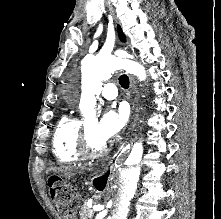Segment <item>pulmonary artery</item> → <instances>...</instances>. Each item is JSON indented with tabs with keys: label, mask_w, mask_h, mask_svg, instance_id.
I'll use <instances>...</instances> for the list:
<instances>
[{
	"label": "pulmonary artery",
	"mask_w": 221,
	"mask_h": 219,
	"mask_svg": "<svg viewBox=\"0 0 221 219\" xmlns=\"http://www.w3.org/2000/svg\"><path fill=\"white\" fill-rule=\"evenodd\" d=\"M101 95L108 100L115 99L118 96L117 87L112 83L105 84L101 89Z\"/></svg>",
	"instance_id": "pulmonary-artery-1"
}]
</instances>
